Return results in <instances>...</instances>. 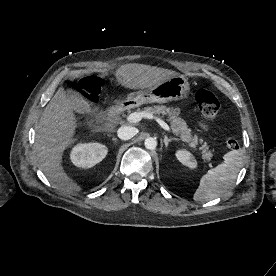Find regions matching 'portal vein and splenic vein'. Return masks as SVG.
<instances>
[{"label":"portal vein and splenic vein","instance_id":"18ae733b","mask_svg":"<svg viewBox=\"0 0 276 276\" xmlns=\"http://www.w3.org/2000/svg\"><path fill=\"white\" fill-rule=\"evenodd\" d=\"M142 118H153V116L146 112H135V113H131L127 117V121L130 123H137V122L141 121ZM156 121L159 123V125L164 130H166L168 132L171 131L169 125L166 122H164L162 119L156 118Z\"/></svg>","mask_w":276,"mask_h":276}]
</instances>
